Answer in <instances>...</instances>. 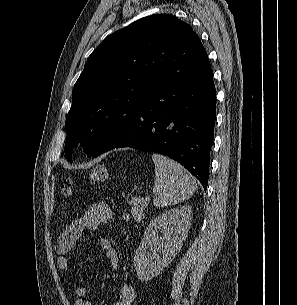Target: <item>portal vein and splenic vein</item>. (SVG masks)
<instances>
[{
	"label": "portal vein and splenic vein",
	"mask_w": 297,
	"mask_h": 305,
	"mask_svg": "<svg viewBox=\"0 0 297 305\" xmlns=\"http://www.w3.org/2000/svg\"><path fill=\"white\" fill-rule=\"evenodd\" d=\"M150 198L149 197H146V200H149Z\"/></svg>",
	"instance_id": "obj_1"
}]
</instances>
